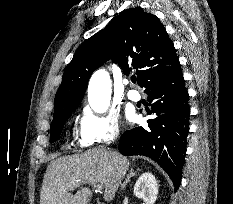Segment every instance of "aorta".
<instances>
[{"mask_svg": "<svg viewBox=\"0 0 233 204\" xmlns=\"http://www.w3.org/2000/svg\"><path fill=\"white\" fill-rule=\"evenodd\" d=\"M111 87L107 71L100 69L93 73L88 85V102L95 112L107 111L111 100Z\"/></svg>", "mask_w": 233, "mask_h": 204, "instance_id": "obj_1", "label": "aorta"}]
</instances>
